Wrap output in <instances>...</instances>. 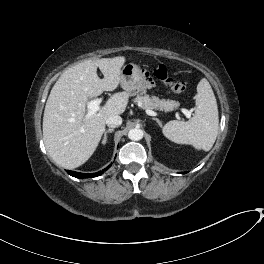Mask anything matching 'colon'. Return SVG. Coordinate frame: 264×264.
<instances>
[{"label":"colon","instance_id":"1","mask_svg":"<svg viewBox=\"0 0 264 264\" xmlns=\"http://www.w3.org/2000/svg\"><path fill=\"white\" fill-rule=\"evenodd\" d=\"M155 76L169 86L174 93L183 94L186 91V84L171 77L168 73L167 66L164 64H159L156 67Z\"/></svg>","mask_w":264,"mask_h":264}]
</instances>
